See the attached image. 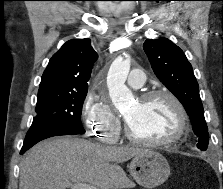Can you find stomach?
<instances>
[{"label": "stomach", "instance_id": "1", "mask_svg": "<svg viewBox=\"0 0 223 189\" xmlns=\"http://www.w3.org/2000/svg\"><path fill=\"white\" fill-rule=\"evenodd\" d=\"M130 174L141 186L152 189L164 183L170 175V166L158 152L146 150L130 163Z\"/></svg>", "mask_w": 223, "mask_h": 189}]
</instances>
